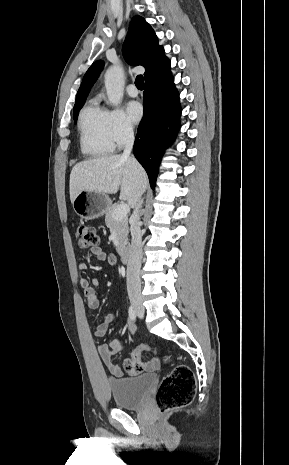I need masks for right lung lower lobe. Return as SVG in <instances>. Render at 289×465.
Returning <instances> with one entry per match:
<instances>
[{"label": "right lung lower lobe", "mask_w": 289, "mask_h": 465, "mask_svg": "<svg viewBox=\"0 0 289 465\" xmlns=\"http://www.w3.org/2000/svg\"><path fill=\"white\" fill-rule=\"evenodd\" d=\"M143 103L144 116L137 130L133 151L154 189L161 157L179 128L181 108L171 74L145 83ZM167 126H170L169 130Z\"/></svg>", "instance_id": "98d812e1"}]
</instances>
